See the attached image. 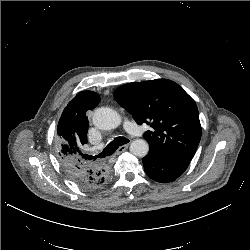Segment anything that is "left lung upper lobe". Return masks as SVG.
Here are the masks:
<instances>
[{"mask_svg":"<svg viewBox=\"0 0 250 250\" xmlns=\"http://www.w3.org/2000/svg\"><path fill=\"white\" fill-rule=\"evenodd\" d=\"M114 97L137 124L151 126L144 133L149 152L174 160L193 158L201 138L199 112L177 83L168 79L128 83L117 88Z\"/></svg>","mask_w":250,"mask_h":250,"instance_id":"left-lung-upper-lobe-1","label":"left lung upper lobe"}]
</instances>
